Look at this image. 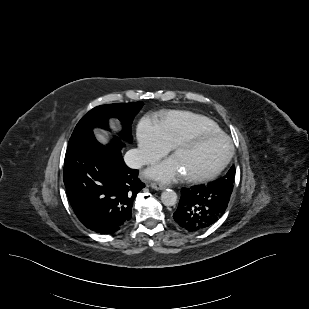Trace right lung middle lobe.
I'll return each instance as SVG.
<instances>
[{"label":"right lung middle lobe","mask_w":309,"mask_h":309,"mask_svg":"<svg viewBox=\"0 0 309 309\" xmlns=\"http://www.w3.org/2000/svg\"><path fill=\"white\" fill-rule=\"evenodd\" d=\"M143 102L118 103L101 105L90 110L76 125L72 135L85 130L101 127L108 129V120L112 117L118 118L122 125L123 131L120 133L122 139L132 140L131 124L134 117L140 111Z\"/></svg>","instance_id":"1"}]
</instances>
